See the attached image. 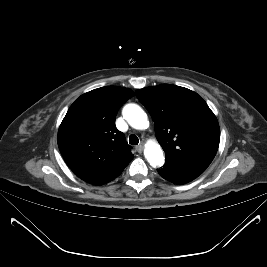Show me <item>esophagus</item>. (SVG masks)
<instances>
[{
    "label": "esophagus",
    "instance_id": "esophagus-1",
    "mask_svg": "<svg viewBox=\"0 0 267 267\" xmlns=\"http://www.w3.org/2000/svg\"><path fill=\"white\" fill-rule=\"evenodd\" d=\"M143 148H144V144H143V143H141L140 145H138V146L136 147V149H137V151H138L139 153H141V152L143 151Z\"/></svg>",
    "mask_w": 267,
    "mask_h": 267
}]
</instances>
